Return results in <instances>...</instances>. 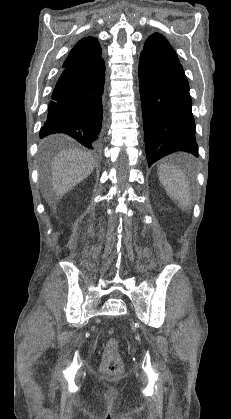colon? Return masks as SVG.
<instances>
[{"instance_id": "5ec220e1", "label": "colon", "mask_w": 231, "mask_h": 419, "mask_svg": "<svg viewBox=\"0 0 231 419\" xmlns=\"http://www.w3.org/2000/svg\"><path fill=\"white\" fill-rule=\"evenodd\" d=\"M121 368L122 362L118 352V341L112 338L106 344L102 362V372L112 375L118 373Z\"/></svg>"}]
</instances>
